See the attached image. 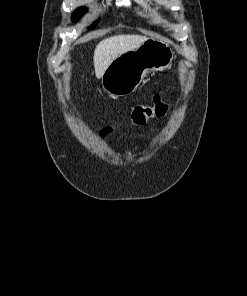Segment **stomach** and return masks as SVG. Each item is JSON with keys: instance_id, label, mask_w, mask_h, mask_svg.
I'll use <instances>...</instances> for the list:
<instances>
[{"instance_id": "obj_1", "label": "stomach", "mask_w": 247, "mask_h": 296, "mask_svg": "<svg viewBox=\"0 0 247 296\" xmlns=\"http://www.w3.org/2000/svg\"><path fill=\"white\" fill-rule=\"evenodd\" d=\"M173 58L174 51L167 43L147 38L138 48L112 61L101 78L102 86L113 96L130 94L138 88L149 72L169 68Z\"/></svg>"}]
</instances>
